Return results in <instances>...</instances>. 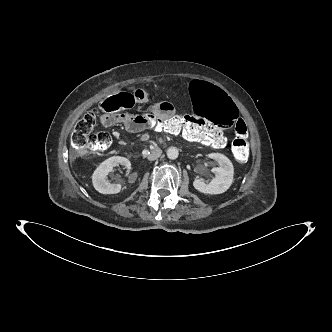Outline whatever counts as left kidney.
<instances>
[{"label":"left kidney","instance_id":"left-kidney-1","mask_svg":"<svg viewBox=\"0 0 332 332\" xmlns=\"http://www.w3.org/2000/svg\"><path fill=\"white\" fill-rule=\"evenodd\" d=\"M208 157L215 160L219 165V167L211 169V172L215 177L207 184L203 179H195L193 186L196 190L205 194L224 193L233 183V164L225 155L220 153H210L208 154Z\"/></svg>","mask_w":332,"mask_h":332}]
</instances>
